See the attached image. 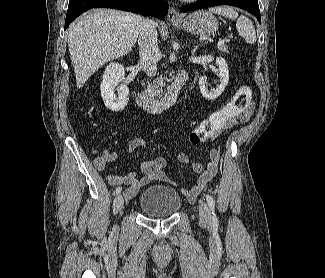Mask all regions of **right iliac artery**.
I'll list each match as a JSON object with an SVG mask.
<instances>
[{"mask_svg":"<svg viewBox=\"0 0 325 278\" xmlns=\"http://www.w3.org/2000/svg\"><path fill=\"white\" fill-rule=\"evenodd\" d=\"M121 190H122V189H121V187L119 186V187L116 188V190H115L114 193L117 195V194H119V193L121 192Z\"/></svg>","mask_w":325,"mask_h":278,"instance_id":"obj_1","label":"right iliac artery"}]
</instances>
